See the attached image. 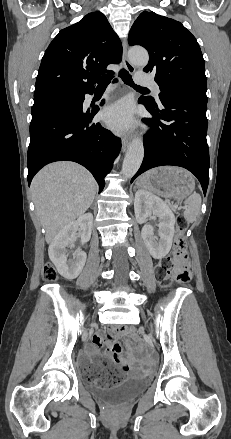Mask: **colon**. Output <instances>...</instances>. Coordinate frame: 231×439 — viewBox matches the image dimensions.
Segmentation results:
<instances>
[{
    "instance_id": "1",
    "label": "colon",
    "mask_w": 231,
    "mask_h": 439,
    "mask_svg": "<svg viewBox=\"0 0 231 439\" xmlns=\"http://www.w3.org/2000/svg\"><path fill=\"white\" fill-rule=\"evenodd\" d=\"M188 227L185 217L178 216L177 231L175 236V248L172 255L163 258L156 267V277L165 286L169 287L174 282L187 283L190 281L191 274L186 266L187 251L184 239V232ZM43 278L46 281H54L56 273L51 265H46L43 269ZM117 331L132 334L130 327H121ZM127 372L125 366H113L108 368L106 373L98 380L103 386H110L119 382Z\"/></svg>"
}]
</instances>
